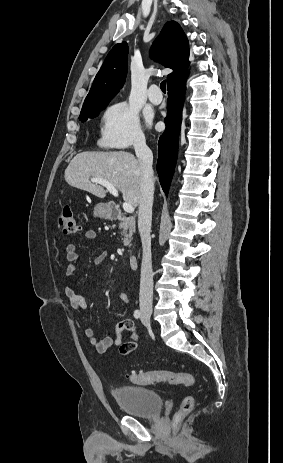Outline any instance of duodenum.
<instances>
[{
    "mask_svg": "<svg viewBox=\"0 0 283 463\" xmlns=\"http://www.w3.org/2000/svg\"><path fill=\"white\" fill-rule=\"evenodd\" d=\"M106 207L110 218L117 219L121 216V210L116 204L108 203ZM129 265L131 269L136 270L138 268V257L135 255L130 256Z\"/></svg>",
    "mask_w": 283,
    "mask_h": 463,
    "instance_id": "duodenum-1",
    "label": "duodenum"
}]
</instances>
